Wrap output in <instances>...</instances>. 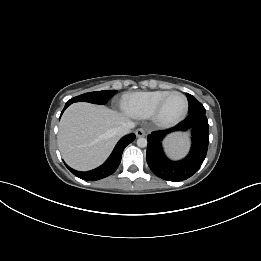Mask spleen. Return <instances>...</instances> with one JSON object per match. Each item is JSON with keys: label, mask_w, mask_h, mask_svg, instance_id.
<instances>
[{"label": "spleen", "mask_w": 261, "mask_h": 261, "mask_svg": "<svg viewBox=\"0 0 261 261\" xmlns=\"http://www.w3.org/2000/svg\"><path fill=\"white\" fill-rule=\"evenodd\" d=\"M168 147L172 155L177 156L182 154L187 147L185 136H175L168 141Z\"/></svg>", "instance_id": "1"}]
</instances>
